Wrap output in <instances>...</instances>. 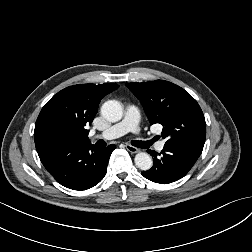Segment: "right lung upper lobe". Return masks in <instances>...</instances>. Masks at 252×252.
<instances>
[{"label":"right lung upper lobe","instance_id":"right-lung-upper-lobe-1","mask_svg":"<svg viewBox=\"0 0 252 252\" xmlns=\"http://www.w3.org/2000/svg\"><path fill=\"white\" fill-rule=\"evenodd\" d=\"M118 87L117 84H82L55 94L42 108L35 123L37 152L65 141L90 143L86 126L93 121L101 99Z\"/></svg>","mask_w":252,"mask_h":252}]
</instances>
